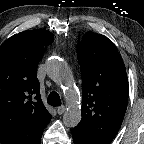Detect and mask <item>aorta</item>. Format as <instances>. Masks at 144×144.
Returning <instances> with one entry per match:
<instances>
[{
  "mask_svg": "<svg viewBox=\"0 0 144 144\" xmlns=\"http://www.w3.org/2000/svg\"><path fill=\"white\" fill-rule=\"evenodd\" d=\"M47 75L56 83L67 86L72 85L71 71L63 60L53 58L47 63ZM65 99L68 108L63 115V123L67 127H75L82 118L80 107L78 106V93L75 88H69L65 91Z\"/></svg>",
  "mask_w": 144,
  "mask_h": 144,
  "instance_id": "1",
  "label": "aorta"
}]
</instances>
